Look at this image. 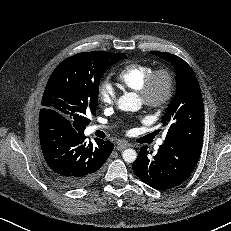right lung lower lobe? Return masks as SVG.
<instances>
[{"label":"right lung lower lobe","instance_id":"98d812e1","mask_svg":"<svg viewBox=\"0 0 231 231\" xmlns=\"http://www.w3.org/2000/svg\"><path fill=\"white\" fill-rule=\"evenodd\" d=\"M39 138L44 158L54 177L68 188H83L101 174L114 144L96 139L86 142L84 132L76 131L50 109L39 113Z\"/></svg>","mask_w":231,"mask_h":231}]
</instances>
